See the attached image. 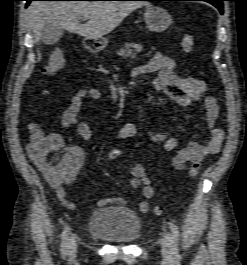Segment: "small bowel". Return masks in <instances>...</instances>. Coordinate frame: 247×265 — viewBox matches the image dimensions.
Listing matches in <instances>:
<instances>
[{"instance_id":"obj_1","label":"small bowel","mask_w":247,"mask_h":265,"mask_svg":"<svg viewBox=\"0 0 247 265\" xmlns=\"http://www.w3.org/2000/svg\"><path fill=\"white\" fill-rule=\"evenodd\" d=\"M175 67L176 61L174 58L166 54L156 53L148 64L135 68L132 74L133 76L153 74V87L155 91L164 93L182 107L187 108L194 103H202L205 111V122L208 128V135L203 142L190 140L182 146L179 137L173 131L149 134L150 139L159 143L165 151H176L172 163L177 170H182L187 163L201 161L207 155L218 153L221 149L225 133L221 128L215 126L219 115V105L214 96L205 95L208 90L207 84L195 77H182L178 75L175 72ZM86 98L95 101L99 100L101 92L96 88H86L77 91L61 117L62 126L73 128L75 133L84 141H88L91 138L89 123L81 117V109ZM186 118L191 120L194 116L188 114ZM177 131L186 133V129L182 125L177 126ZM138 134V127L133 123H125L118 130V137L120 139L134 138ZM54 135L63 143L59 135ZM63 150L71 159V167L68 173L59 179L50 177L44 171L43 173L47 182L55 191L59 202L67 209L74 210L76 204L68 199L66 186L71 184L80 173L85 161V152L79 146H63ZM129 183L133 188L142 189L146 200L138 204V209L142 213L148 212L149 203L147 200L153 199L154 189L142 164L134 163L131 166ZM109 203L126 205L127 201L117 196V194H113L111 197L100 199L97 204L99 207H105Z\"/></svg>"}]
</instances>
